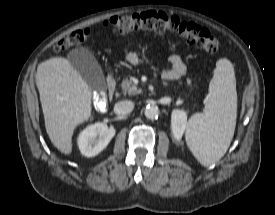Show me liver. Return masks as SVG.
<instances>
[{"label": "liver", "mask_w": 275, "mask_h": 215, "mask_svg": "<svg viewBox=\"0 0 275 215\" xmlns=\"http://www.w3.org/2000/svg\"><path fill=\"white\" fill-rule=\"evenodd\" d=\"M36 85L52 144L62 153L72 152L77 125L91 117L92 91L84 78L63 57L39 64Z\"/></svg>", "instance_id": "liver-1"}]
</instances>
